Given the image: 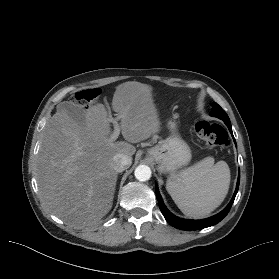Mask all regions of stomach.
I'll return each mask as SVG.
<instances>
[{
	"label": "stomach",
	"mask_w": 279,
	"mask_h": 279,
	"mask_svg": "<svg viewBox=\"0 0 279 279\" xmlns=\"http://www.w3.org/2000/svg\"><path fill=\"white\" fill-rule=\"evenodd\" d=\"M169 125L171 136L150 148L148 156L158 164L160 172L173 174L189 163L191 150L176 132V123L171 121Z\"/></svg>",
	"instance_id": "obj_1"
}]
</instances>
